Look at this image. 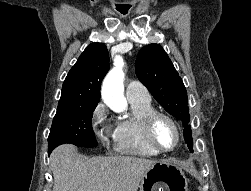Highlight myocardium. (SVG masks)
<instances>
[{
    "instance_id": "obj_1",
    "label": "myocardium",
    "mask_w": 251,
    "mask_h": 191,
    "mask_svg": "<svg viewBox=\"0 0 251 191\" xmlns=\"http://www.w3.org/2000/svg\"><path fill=\"white\" fill-rule=\"evenodd\" d=\"M158 118H165L168 121H170L178 133V136H179L178 144L171 151L161 150L157 146V144L154 140L153 128H154V124ZM143 133H144V137H145L147 144L156 152L157 155H167V154H171V153L178 151L182 147L184 140H185L183 130L180 127L179 123L176 121V119L166 112L157 111V110H154L145 116V118L143 120Z\"/></svg>"
}]
</instances>
